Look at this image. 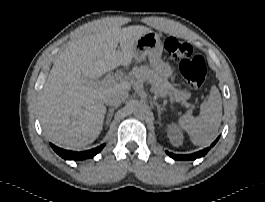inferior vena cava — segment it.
<instances>
[{
  "mask_svg": "<svg viewBox=\"0 0 265 202\" xmlns=\"http://www.w3.org/2000/svg\"><path fill=\"white\" fill-rule=\"evenodd\" d=\"M128 97V92L125 90H113L109 92L105 98V104L118 107Z\"/></svg>",
  "mask_w": 265,
  "mask_h": 202,
  "instance_id": "1",
  "label": "inferior vena cava"
}]
</instances>
